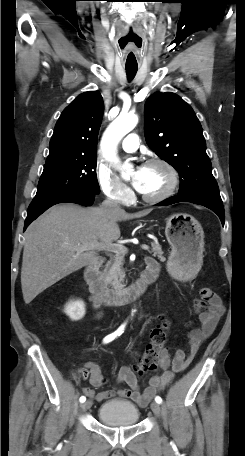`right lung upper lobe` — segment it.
Returning <instances> with one entry per match:
<instances>
[{
	"mask_svg": "<svg viewBox=\"0 0 245 456\" xmlns=\"http://www.w3.org/2000/svg\"><path fill=\"white\" fill-rule=\"evenodd\" d=\"M103 110V98L99 91L77 96L64 109L55 125L46 163L96 155Z\"/></svg>",
	"mask_w": 245,
	"mask_h": 456,
	"instance_id": "obj_1",
	"label": "right lung upper lobe"
}]
</instances>
